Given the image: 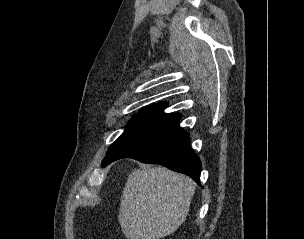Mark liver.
I'll use <instances>...</instances> for the list:
<instances>
[{
	"instance_id": "liver-1",
	"label": "liver",
	"mask_w": 304,
	"mask_h": 239,
	"mask_svg": "<svg viewBox=\"0 0 304 239\" xmlns=\"http://www.w3.org/2000/svg\"><path fill=\"white\" fill-rule=\"evenodd\" d=\"M195 193V182L164 167L144 165L128 176L119 224L128 239H160L181 226Z\"/></svg>"
}]
</instances>
